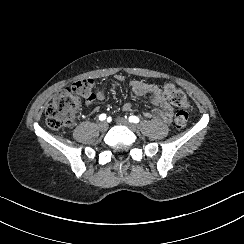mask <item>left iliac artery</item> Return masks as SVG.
Returning <instances> with one entry per match:
<instances>
[{"mask_svg": "<svg viewBox=\"0 0 244 244\" xmlns=\"http://www.w3.org/2000/svg\"><path fill=\"white\" fill-rule=\"evenodd\" d=\"M129 122L138 123L139 122V118L136 117V116H130L129 117Z\"/></svg>", "mask_w": 244, "mask_h": 244, "instance_id": "1", "label": "left iliac artery"}]
</instances>
